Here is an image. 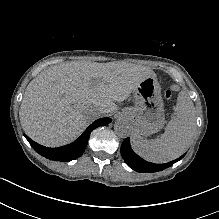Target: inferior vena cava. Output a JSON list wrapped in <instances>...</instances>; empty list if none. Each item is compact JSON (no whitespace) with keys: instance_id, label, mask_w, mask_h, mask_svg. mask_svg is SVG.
<instances>
[{"instance_id":"602c4592","label":"inferior vena cava","mask_w":219,"mask_h":219,"mask_svg":"<svg viewBox=\"0 0 219 219\" xmlns=\"http://www.w3.org/2000/svg\"><path fill=\"white\" fill-rule=\"evenodd\" d=\"M90 118L93 120V121H100L102 118H103V107L100 105V104H93L91 107H90Z\"/></svg>"}]
</instances>
